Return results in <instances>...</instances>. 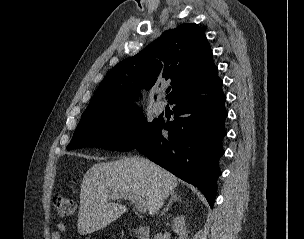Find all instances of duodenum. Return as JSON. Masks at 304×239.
<instances>
[{
	"label": "duodenum",
	"mask_w": 304,
	"mask_h": 239,
	"mask_svg": "<svg viewBox=\"0 0 304 239\" xmlns=\"http://www.w3.org/2000/svg\"><path fill=\"white\" fill-rule=\"evenodd\" d=\"M136 233H137L139 239H150V232H149V229L146 227H139L136 230Z\"/></svg>",
	"instance_id": "duodenum-1"
}]
</instances>
